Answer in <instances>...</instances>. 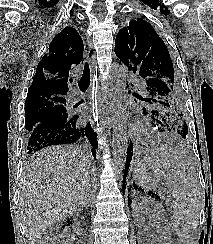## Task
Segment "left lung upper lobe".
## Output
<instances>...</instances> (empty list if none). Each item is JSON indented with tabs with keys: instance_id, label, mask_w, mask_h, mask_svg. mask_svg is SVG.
Wrapping results in <instances>:
<instances>
[{
	"instance_id": "left-lung-upper-lobe-1",
	"label": "left lung upper lobe",
	"mask_w": 213,
	"mask_h": 244,
	"mask_svg": "<svg viewBox=\"0 0 213 244\" xmlns=\"http://www.w3.org/2000/svg\"><path fill=\"white\" fill-rule=\"evenodd\" d=\"M115 54L138 80L140 94L134 96L144 102V113L148 109L152 119L164 123V132L186 138L187 114L178 73L154 28L141 18L130 21L116 36Z\"/></svg>"
}]
</instances>
